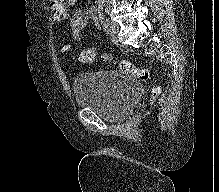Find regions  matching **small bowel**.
<instances>
[{"instance_id": "small-bowel-1", "label": "small bowel", "mask_w": 219, "mask_h": 192, "mask_svg": "<svg viewBox=\"0 0 219 192\" xmlns=\"http://www.w3.org/2000/svg\"><path fill=\"white\" fill-rule=\"evenodd\" d=\"M77 0H50L49 7L56 21H64L73 10ZM97 8L91 7L86 14L81 10H75L69 19L70 28L78 36L84 28L86 22L95 19ZM109 55H103V59L108 60Z\"/></svg>"}]
</instances>
